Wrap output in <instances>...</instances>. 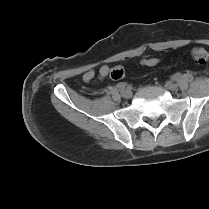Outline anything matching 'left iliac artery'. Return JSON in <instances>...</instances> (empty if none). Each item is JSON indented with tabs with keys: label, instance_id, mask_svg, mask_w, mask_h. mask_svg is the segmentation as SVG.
<instances>
[{
	"label": "left iliac artery",
	"instance_id": "44dca946",
	"mask_svg": "<svg viewBox=\"0 0 209 209\" xmlns=\"http://www.w3.org/2000/svg\"><path fill=\"white\" fill-rule=\"evenodd\" d=\"M181 78H182V75L180 73H177L172 76V81L179 82Z\"/></svg>",
	"mask_w": 209,
	"mask_h": 209
}]
</instances>
